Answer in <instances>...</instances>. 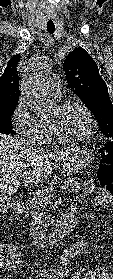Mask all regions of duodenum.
<instances>
[{
  "label": "duodenum",
  "instance_id": "410a0bca",
  "mask_svg": "<svg viewBox=\"0 0 113 279\" xmlns=\"http://www.w3.org/2000/svg\"><path fill=\"white\" fill-rule=\"evenodd\" d=\"M75 221V211L73 209L66 211L60 221L50 228L30 229L29 236L42 246L58 242L67 234Z\"/></svg>",
  "mask_w": 113,
  "mask_h": 279
}]
</instances>
